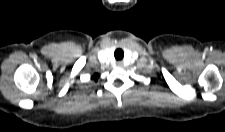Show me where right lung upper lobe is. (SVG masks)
Returning a JSON list of instances; mask_svg holds the SVG:
<instances>
[{
	"label": "right lung upper lobe",
	"mask_w": 225,
	"mask_h": 132,
	"mask_svg": "<svg viewBox=\"0 0 225 132\" xmlns=\"http://www.w3.org/2000/svg\"><path fill=\"white\" fill-rule=\"evenodd\" d=\"M93 79H94L95 81H97V75H95V76L93 77Z\"/></svg>",
	"instance_id": "right-lung-upper-lobe-1"
}]
</instances>
